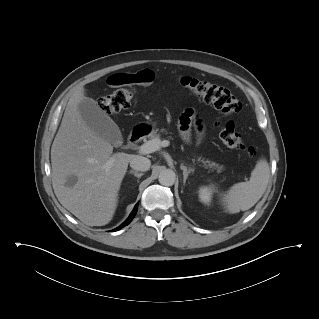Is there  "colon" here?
Returning a JSON list of instances; mask_svg holds the SVG:
<instances>
[{
  "mask_svg": "<svg viewBox=\"0 0 319 319\" xmlns=\"http://www.w3.org/2000/svg\"><path fill=\"white\" fill-rule=\"evenodd\" d=\"M109 84L117 89L101 99L102 109L109 114H119L130 107L134 95L147 85L137 75L115 74L109 78ZM180 84L193 94L201 97L207 104L213 105L226 116L237 114L241 110V103L227 88L191 77H183ZM220 140L230 148L254 156L255 150L247 146L235 131L233 122L228 121L218 125Z\"/></svg>",
  "mask_w": 319,
  "mask_h": 319,
  "instance_id": "1",
  "label": "colon"
}]
</instances>
